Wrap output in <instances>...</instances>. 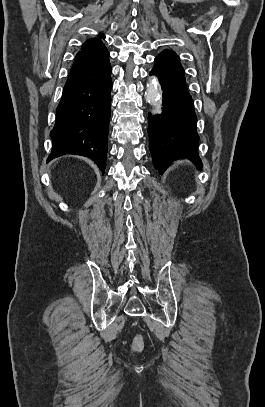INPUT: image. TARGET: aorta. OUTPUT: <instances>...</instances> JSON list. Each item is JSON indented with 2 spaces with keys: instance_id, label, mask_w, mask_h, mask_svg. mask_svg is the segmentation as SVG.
<instances>
[{
  "instance_id": "obj_1",
  "label": "aorta",
  "mask_w": 265,
  "mask_h": 407,
  "mask_svg": "<svg viewBox=\"0 0 265 407\" xmlns=\"http://www.w3.org/2000/svg\"><path fill=\"white\" fill-rule=\"evenodd\" d=\"M145 99L157 111L161 109V89L156 77H150L145 91Z\"/></svg>"
}]
</instances>
